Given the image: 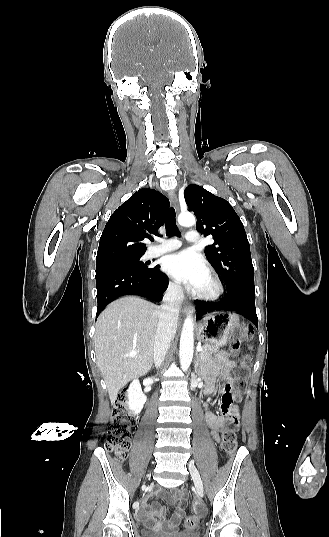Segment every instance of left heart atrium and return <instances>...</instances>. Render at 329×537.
Masks as SVG:
<instances>
[{"label":"left heart atrium","mask_w":329,"mask_h":537,"mask_svg":"<svg viewBox=\"0 0 329 537\" xmlns=\"http://www.w3.org/2000/svg\"><path fill=\"white\" fill-rule=\"evenodd\" d=\"M164 270L176 281L198 290L208 270L203 258L193 250H183L165 257Z\"/></svg>","instance_id":"1"}]
</instances>
